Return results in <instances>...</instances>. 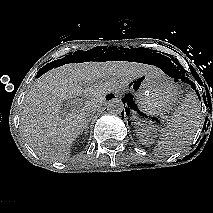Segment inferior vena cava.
Returning <instances> with one entry per match:
<instances>
[{
	"mask_svg": "<svg viewBox=\"0 0 213 213\" xmlns=\"http://www.w3.org/2000/svg\"><path fill=\"white\" fill-rule=\"evenodd\" d=\"M97 109H87L85 113V122H89L94 118V114L96 113Z\"/></svg>",
	"mask_w": 213,
	"mask_h": 213,
	"instance_id": "1",
	"label": "inferior vena cava"
}]
</instances>
